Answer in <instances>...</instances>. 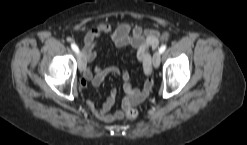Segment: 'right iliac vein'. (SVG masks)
Returning a JSON list of instances; mask_svg holds the SVG:
<instances>
[{
  "label": "right iliac vein",
  "instance_id": "1",
  "mask_svg": "<svg viewBox=\"0 0 247 145\" xmlns=\"http://www.w3.org/2000/svg\"><path fill=\"white\" fill-rule=\"evenodd\" d=\"M85 68H86L85 55L84 52L81 51L79 55V71L82 73L84 72Z\"/></svg>",
  "mask_w": 247,
  "mask_h": 145
}]
</instances>
